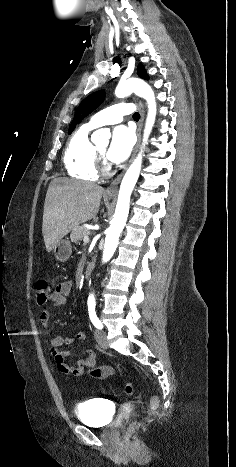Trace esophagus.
Here are the masks:
<instances>
[{"instance_id": "34e87169", "label": "esophagus", "mask_w": 236, "mask_h": 467, "mask_svg": "<svg viewBox=\"0 0 236 467\" xmlns=\"http://www.w3.org/2000/svg\"><path fill=\"white\" fill-rule=\"evenodd\" d=\"M138 106H139V111H140V121L138 123V128H137V137H138V140H137V144L134 148V151H133V154H132V157L130 159V162L131 163L136 155V152L138 150V147H139V143H140V139H141V129H142V125H143V121H144V115H145V107H144V104L142 101H139L138 102ZM126 170V169H125ZM124 170V171H125ZM124 171L118 175L113 181L112 183L109 185V187L106 189L105 191V194L106 195H116L117 193V189H118V185L121 181V178L124 174Z\"/></svg>"}]
</instances>
